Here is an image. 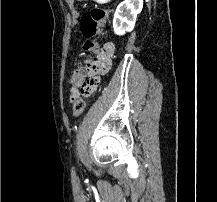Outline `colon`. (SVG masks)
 <instances>
[{"label": "colon", "mask_w": 217, "mask_h": 202, "mask_svg": "<svg viewBox=\"0 0 217 202\" xmlns=\"http://www.w3.org/2000/svg\"><path fill=\"white\" fill-rule=\"evenodd\" d=\"M107 18L108 10L106 8L101 7H94L82 14L80 20V31L83 37L85 38L82 48L85 54H92L94 52L96 47L95 37L102 31L104 25L107 22ZM85 74H88V70L85 67H81L70 72L68 77L69 82L71 84L70 101L73 99L72 97L75 95L74 93L78 91V85H83V82H85ZM76 101L77 102L75 103V106L72 107L73 114L75 116L80 115L85 108L83 106L85 100L78 99Z\"/></svg>", "instance_id": "1"}]
</instances>
